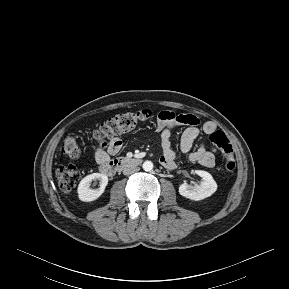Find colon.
Wrapping results in <instances>:
<instances>
[{
    "mask_svg": "<svg viewBox=\"0 0 289 289\" xmlns=\"http://www.w3.org/2000/svg\"><path fill=\"white\" fill-rule=\"evenodd\" d=\"M152 117L149 110H141L138 112H126L118 114L106 122L102 123L94 132L93 138L102 148L108 145V141L123 132H127L135 128L138 124L148 121ZM209 139L214 147L219 149L225 157V169L232 172L235 169V160L233 157L232 146L226 135L217 130L210 134ZM60 150L62 154L71 158H77L81 154V149L74 136H67L61 144ZM56 176L59 187L69 192L73 190L79 180V172L74 165H60L57 167Z\"/></svg>",
    "mask_w": 289,
    "mask_h": 289,
    "instance_id": "obj_1",
    "label": "colon"
}]
</instances>
